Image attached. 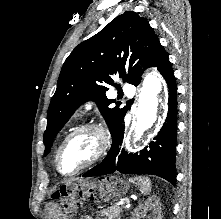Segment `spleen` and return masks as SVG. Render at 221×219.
<instances>
[{
  "label": "spleen",
  "instance_id": "obj_1",
  "mask_svg": "<svg viewBox=\"0 0 221 219\" xmlns=\"http://www.w3.org/2000/svg\"><path fill=\"white\" fill-rule=\"evenodd\" d=\"M139 186L140 191L142 194L147 195L151 191V182L148 178H141L137 177L134 180H131V182H135Z\"/></svg>",
  "mask_w": 221,
  "mask_h": 219
}]
</instances>
